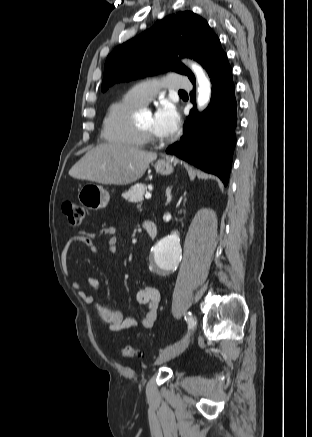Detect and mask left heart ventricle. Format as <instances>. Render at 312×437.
Here are the masks:
<instances>
[{
	"label": "left heart ventricle",
	"mask_w": 312,
	"mask_h": 437,
	"mask_svg": "<svg viewBox=\"0 0 312 437\" xmlns=\"http://www.w3.org/2000/svg\"><path fill=\"white\" fill-rule=\"evenodd\" d=\"M138 125L143 127L144 129H147L149 131H151L156 137H158L159 139H162L163 137H161L160 135H158L155 130H154V125H153V115L151 114H146L144 116L141 117L140 120H138Z\"/></svg>",
	"instance_id": "1"
}]
</instances>
